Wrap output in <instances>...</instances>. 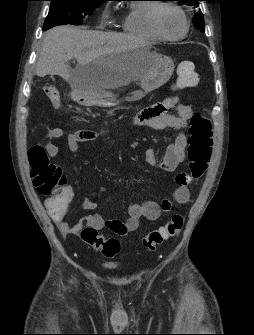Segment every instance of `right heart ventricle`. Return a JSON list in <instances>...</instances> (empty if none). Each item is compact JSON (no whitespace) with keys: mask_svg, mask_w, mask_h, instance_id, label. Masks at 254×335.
<instances>
[{"mask_svg":"<svg viewBox=\"0 0 254 335\" xmlns=\"http://www.w3.org/2000/svg\"><path fill=\"white\" fill-rule=\"evenodd\" d=\"M154 5L153 3L131 4L121 18L123 31L147 41L157 42L161 40L152 31L149 23V15Z\"/></svg>","mask_w":254,"mask_h":335,"instance_id":"right-heart-ventricle-1","label":"right heart ventricle"}]
</instances>
